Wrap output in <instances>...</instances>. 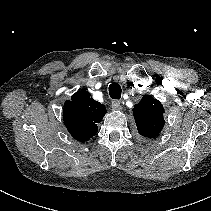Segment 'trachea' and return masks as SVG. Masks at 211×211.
I'll use <instances>...</instances> for the list:
<instances>
[{
    "mask_svg": "<svg viewBox=\"0 0 211 211\" xmlns=\"http://www.w3.org/2000/svg\"><path fill=\"white\" fill-rule=\"evenodd\" d=\"M121 92V86L118 83H112L109 86V95L112 99H120Z\"/></svg>",
    "mask_w": 211,
    "mask_h": 211,
    "instance_id": "1",
    "label": "trachea"
}]
</instances>
